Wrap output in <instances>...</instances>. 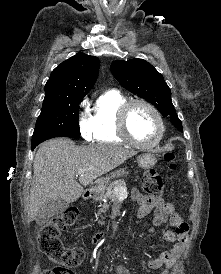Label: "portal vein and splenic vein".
I'll return each mask as SVG.
<instances>
[{"mask_svg":"<svg viewBox=\"0 0 221 274\" xmlns=\"http://www.w3.org/2000/svg\"><path fill=\"white\" fill-rule=\"evenodd\" d=\"M84 173V170L78 171V175H82Z\"/></svg>","mask_w":221,"mask_h":274,"instance_id":"18ae733b","label":"portal vein and splenic vein"}]
</instances>
